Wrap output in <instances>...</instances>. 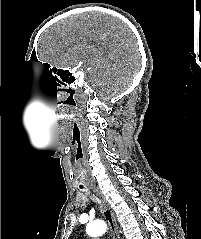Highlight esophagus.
Returning <instances> with one entry per match:
<instances>
[{
	"label": "esophagus",
	"mask_w": 201,
	"mask_h": 239,
	"mask_svg": "<svg viewBox=\"0 0 201 239\" xmlns=\"http://www.w3.org/2000/svg\"><path fill=\"white\" fill-rule=\"evenodd\" d=\"M92 190L100 202L102 213L109 225L112 234L114 235V239H119L117 222L110 205L108 204L107 200L105 199L99 188L92 187Z\"/></svg>",
	"instance_id": "1"
}]
</instances>
